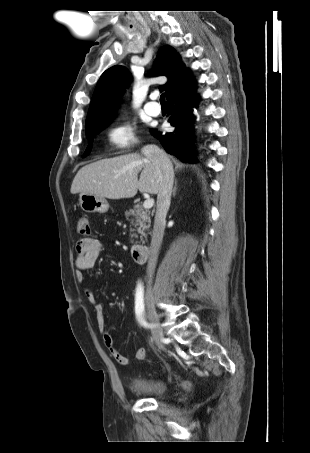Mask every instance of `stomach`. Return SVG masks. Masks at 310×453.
Wrapping results in <instances>:
<instances>
[{"label": "stomach", "instance_id": "obj_1", "mask_svg": "<svg viewBox=\"0 0 310 453\" xmlns=\"http://www.w3.org/2000/svg\"><path fill=\"white\" fill-rule=\"evenodd\" d=\"M79 205L87 213H106L109 209V204L105 198L86 193L80 194Z\"/></svg>", "mask_w": 310, "mask_h": 453}]
</instances>
